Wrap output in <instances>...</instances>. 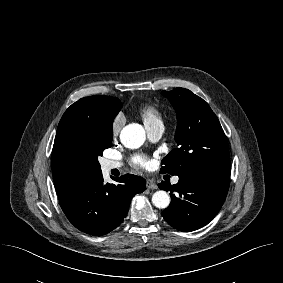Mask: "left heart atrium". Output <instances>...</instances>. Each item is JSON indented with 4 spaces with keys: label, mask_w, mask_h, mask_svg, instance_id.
<instances>
[{
    "label": "left heart atrium",
    "mask_w": 283,
    "mask_h": 283,
    "mask_svg": "<svg viewBox=\"0 0 283 283\" xmlns=\"http://www.w3.org/2000/svg\"><path fill=\"white\" fill-rule=\"evenodd\" d=\"M134 163L139 167H147L149 164L147 159L144 158L143 156H135Z\"/></svg>",
    "instance_id": "obj_1"
}]
</instances>
